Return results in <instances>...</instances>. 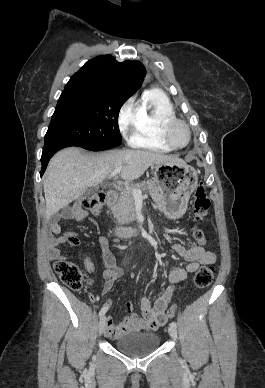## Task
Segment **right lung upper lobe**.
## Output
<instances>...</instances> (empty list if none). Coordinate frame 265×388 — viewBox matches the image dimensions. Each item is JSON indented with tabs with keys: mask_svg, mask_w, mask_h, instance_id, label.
Masks as SVG:
<instances>
[{
	"mask_svg": "<svg viewBox=\"0 0 265 388\" xmlns=\"http://www.w3.org/2000/svg\"><path fill=\"white\" fill-rule=\"evenodd\" d=\"M146 70L138 61L117 62L103 55L86 62L63 92H109L132 96L141 86Z\"/></svg>",
	"mask_w": 265,
	"mask_h": 388,
	"instance_id": "right-lung-upper-lobe-1",
	"label": "right lung upper lobe"
}]
</instances>
